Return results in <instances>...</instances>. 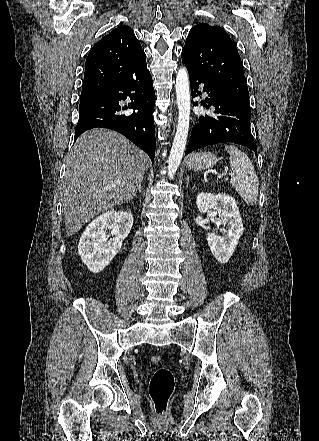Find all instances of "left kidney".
Masks as SVG:
<instances>
[{"label":"left kidney","mask_w":319,"mask_h":441,"mask_svg":"<svg viewBox=\"0 0 319 441\" xmlns=\"http://www.w3.org/2000/svg\"><path fill=\"white\" fill-rule=\"evenodd\" d=\"M196 204L200 213H206L210 209L218 212L220 218L218 224L224 227L223 236L208 233L206 239L217 261L222 264L227 263L243 234L242 219L236 201L226 194L200 193Z\"/></svg>","instance_id":"left-kidney-1"}]
</instances>
